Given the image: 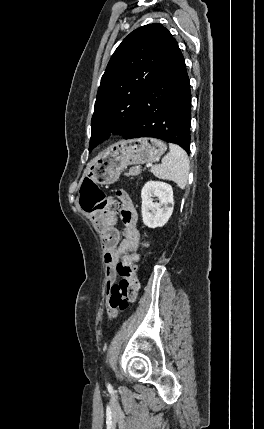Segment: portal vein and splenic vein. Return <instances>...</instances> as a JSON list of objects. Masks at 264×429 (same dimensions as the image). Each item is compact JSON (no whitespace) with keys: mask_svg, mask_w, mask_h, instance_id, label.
I'll list each match as a JSON object with an SVG mask.
<instances>
[{"mask_svg":"<svg viewBox=\"0 0 264 429\" xmlns=\"http://www.w3.org/2000/svg\"><path fill=\"white\" fill-rule=\"evenodd\" d=\"M154 165L152 163L146 164V168H152Z\"/></svg>","mask_w":264,"mask_h":429,"instance_id":"18ae733b","label":"portal vein and splenic vein"}]
</instances>
